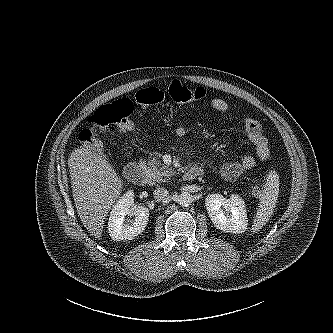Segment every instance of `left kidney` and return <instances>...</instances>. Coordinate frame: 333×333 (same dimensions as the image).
<instances>
[{
    "label": "left kidney",
    "mask_w": 333,
    "mask_h": 333,
    "mask_svg": "<svg viewBox=\"0 0 333 333\" xmlns=\"http://www.w3.org/2000/svg\"><path fill=\"white\" fill-rule=\"evenodd\" d=\"M209 217L217 229L234 234L247 229V214L244 200L236 194L229 198L221 194H210L205 199Z\"/></svg>",
    "instance_id": "5707ae66"
}]
</instances>
